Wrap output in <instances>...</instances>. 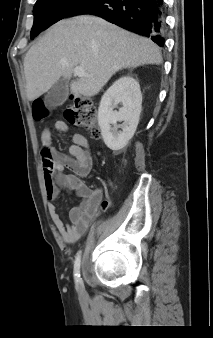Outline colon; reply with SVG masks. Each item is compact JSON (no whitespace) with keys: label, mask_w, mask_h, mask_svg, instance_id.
I'll use <instances>...</instances> for the list:
<instances>
[{"label":"colon","mask_w":213,"mask_h":338,"mask_svg":"<svg viewBox=\"0 0 213 338\" xmlns=\"http://www.w3.org/2000/svg\"><path fill=\"white\" fill-rule=\"evenodd\" d=\"M48 117V110L42 100H37L33 104V118L37 122H42ZM66 120L85 129L89 135L98 139L101 137V129L98 125L97 110L91 101L86 98H76L67 106L65 113ZM108 207V201H104L102 210Z\"/></svg>","instance_id":"colon-1"}]
</instances>
